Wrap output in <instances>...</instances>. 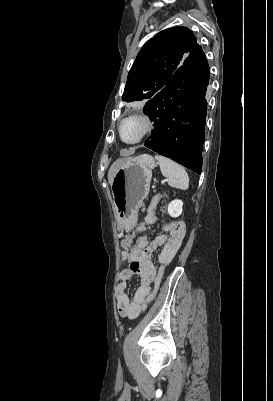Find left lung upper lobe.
<instances>
[{"label": "left lung upper lobe", "instance_id": "left-lung-upper-lobe-1", "mask_svg": "<svg viewBox=\"0 0 273 401\" xmlns=\"http://www.w3.org/2000/svg\"><path fill=\"white\" fill-rule=\"evenodd\" d=\"M197 39L186 27L163 30L144 44L128 74L122 101L151 100L169 82Z\"/></svg>", "mask_w": 273, "mask_h": 401}]
</instances>
